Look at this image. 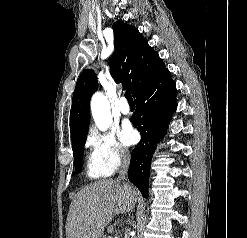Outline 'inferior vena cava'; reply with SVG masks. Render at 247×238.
Wrapping results in <instances>:
<instances>
[{
    "mask_svg": "<svg viewBox=\"0 0 247 238\" xmlns=\"http://www.w3.org/2000/svg\"><path fill=\"white\" fill-rule=\"evenodd\" d=\"M120 156H121L122 163H121V167H120L119 176L117 178V181H121V180L126 179V175H127L129 163H130V154L127 150H121Z\"/></svg>",
    "mask_w": 247,
    "mask_h": 238,
    "instance_id": "inferior-vena-cava-1",
    "label": "inferior vena cava"
}]
</instances>
